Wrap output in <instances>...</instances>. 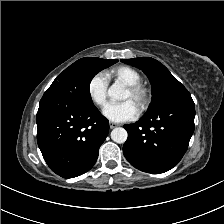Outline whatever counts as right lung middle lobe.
Returning a JSON list of instances; mask_svg holds the SVG:
<instances>
[{
  "label": "right lung middle lobe",
  "mask_w": 224,
  "mask_h": 224,
  "mask_svg": "<svg viewBox=\"0 0 224 224\" xmlns=\"http://www.w3.org/2000/svg\"><path fill=\"white\" fill-rule=\"evenodd\" d=\"M118 60L95 57L82 58L66 68L51 84L47 94H57L92 105L89 85L93 77L101 70L113 65Z\"/></svg>",
  "instance_id": "obj_1"
}]
</instances>
